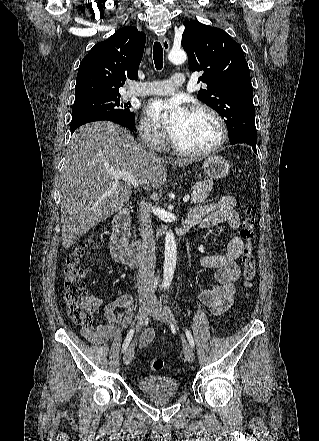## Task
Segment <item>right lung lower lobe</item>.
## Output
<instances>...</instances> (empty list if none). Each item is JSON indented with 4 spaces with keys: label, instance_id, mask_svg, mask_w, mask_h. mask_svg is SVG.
Masks as SVG:
<instances>
[{
    "label": "right lung lower lobe",
    "instance_id": "obj_1",
    "mask_svg": "<svg viewBox=\"0 0 319 441\" xmlns=\"http://www.w3.org/2000/svg\"><path fill=\"white\" fill-rule=\"evenodd\" d=\"M101 120L112 121V122H115V123H117V124H120V125L126 127L124 123H122L120 120L116 119L115 117H111V116H93V117L85 118V119L79 120L78 122L72 123V124H71V134H72V133H73V132H74L79 126H81V125H83V124H86V123H89V122H94V121H101Z\"/></svg>",
    "mask_w": 319,
    "mask_h": 441
}]
</instances>
